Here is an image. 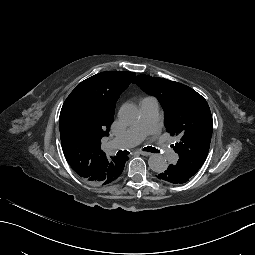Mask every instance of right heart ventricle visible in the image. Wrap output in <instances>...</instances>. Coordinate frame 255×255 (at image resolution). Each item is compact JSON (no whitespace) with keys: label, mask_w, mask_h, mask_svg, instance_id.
<instances>
[{"label":"right heart ventricle","mask_w":255,"mask_h":255,"mask_svg":"<svg viewBox=\"0 0 255 255\" xmlns=\"http://www.w3.org/2000/svg\"><path fill=\"white\" fill-rule=\"evenodd\" d=\"M152 98H154V97H152V96H147V97H145L143 100H145V99H152Z\"/></svg>","instance_id":"obj_1"}]
</instances>
